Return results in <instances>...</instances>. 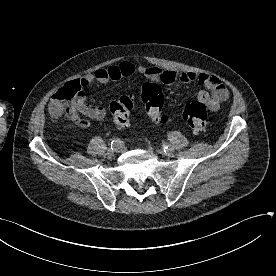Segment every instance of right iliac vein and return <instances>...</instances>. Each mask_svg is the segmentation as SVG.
Here are the masks:
<instances>
[{"mask_svg": "<svg viewBox=\"0 0 276 276\" xmlns=\"http://www.w3.org/2000/svg\"><path fill=\"white\" fill-rule=\"evenodd\" d=\"M122 148H123V147H113V148H109V149L107 150V154L110 155V156H112L115 152H120V151H122Z\"/></svg>", "mask_w": 276, "mask_h": 276, "instance_id": "63e3f726", "label": "right iliac vein"}]
</instances>
